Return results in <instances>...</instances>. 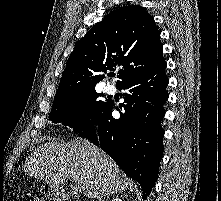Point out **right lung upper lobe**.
Returning a JSON list of instances; mask_svg holds the SVG:
<instances>
[{
  "instance_id": "cb5924a9",
  "label": "right lung upper lobe",
  "mask_w": 221,
  "mask_h": 201,
  "mask_svg": "<svg viewBox=\"0 0 221 201\" xmlns=\"http://www.w3.org/2000/svg\"><path fill=\"white\" fill-rule=\"evenodd\" d=\"M159 30L140 6H124L108 14L75 45L55 97L94 89L107 71L118 67L123 81L148 72L163 59Z\"/></svg>"
}]
</instances>
